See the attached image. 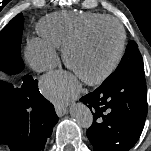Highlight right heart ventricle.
<instances>
[{
	"instance_id": "e07e8e85",
	"label": "right heart ventricle",
	"mask_w": 151,
	"mask_h": 151,
	"mask_svg": "<svg viewBox=\"0 0 151 151\" xmlns=\"http://www.w3.org/2000/svg\"><path fill=\"white\" fill-rule=\"evenodd\" d=\"M104 17L107 15L94 12H58L42 18L37 30L47 44L54 48H63L86 26Z\"/></svg>"
}]
</instances>
